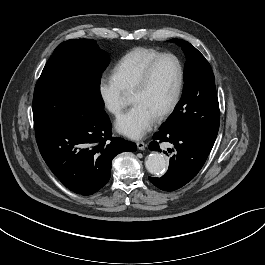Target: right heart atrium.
<instances>
[{
	"mask_svg": "<svg viewBox=\"0 0 265 265\" xmlns=\"http://www.w3.org/2000/svg\"><path fill=\"white\" fill-rule=\"evenodd\" d=\"M98 95L107 111L113 115L121 113L126 94L113 75L101 76L98 82Z\"/></svg>",
	"mask_w": 265,
	"mask_h": 265,
	"instance_id": "d8ad5b80",
	"label": "right heart atrium"
}]
</instances>
